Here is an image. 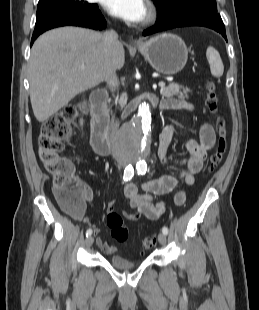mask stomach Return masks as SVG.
Here are the masks:
<instances>
[{"mask_svg": "<svg viewBox=\"0 0 259 310\" xmlns=\"http://www.w3.org/2000/svg\"><path fill=\"white\" fill-rule=\"evenodd\" d=\"M138 49L153 69L165 75L179 73L188 59L184 41L170 33L157 35L141 43Z\"/></svg>", "mask_w": 259, "mask_h": 310, "instance_id": "obj_1", "label": "stomach"}]
</instances>
